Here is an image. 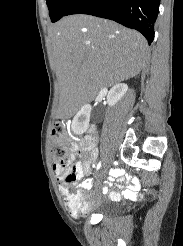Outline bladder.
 Instances as JSON below:
<instances>
[{"label": "bladder", "instance_id": "bladder-1", "mask_svg": "<svg viewBox=\"0 0 183 246\" xmlns=\"http://www.w3.org/2000/svg\"><path fill=\"white\" fill-rule=\"evenodd\" d=\"M93 212L104 217L113 216L119 212V208L109 202L97 201Z\"/></svg>", "mask_w": 183, "mask_h": 246}]
</instances>
